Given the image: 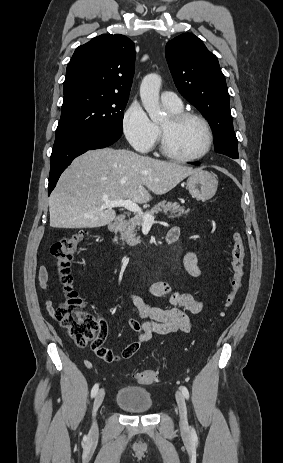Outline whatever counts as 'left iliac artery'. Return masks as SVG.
<instances>
[{"label":"left iliac artery","mask_w":283,"mask_h":463,"mask_svg":"<svg viewBox=\"0 0 283 463\" xmlns=\"http://www.w3.org/2000/svg\"><path fill=\"white\" fill-rule=\"evenodd\" d=\"M181 391H182L184 397H185L186 399H189V391H188V389H187L185 386H181ZM191 433H192V436H193V437L196 436V432H195L194 429H192V432H191Z\"/></svg>","instance_id":"44dca946"}]
</instances>
